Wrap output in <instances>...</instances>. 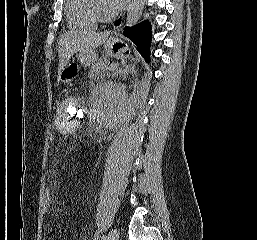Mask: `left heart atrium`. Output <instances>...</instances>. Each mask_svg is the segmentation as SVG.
<instances>
[{
  "label": "left heart atrium",
  "instance_id": "left-heart-atrium-1",
  "mask_svg": "<svg viewBox=\"0 0 257 240\" xmlns=\"http://www.w3.org/2000/svg\"><path fill=\"white\" fill-rule=\"evenodd\" d=\"M128 1L129 0H107V5L111 10L119 11L127 5Z\"/></svg>",
  "mask_w": 257,
  "mask_h": 240
}]
</instances>
